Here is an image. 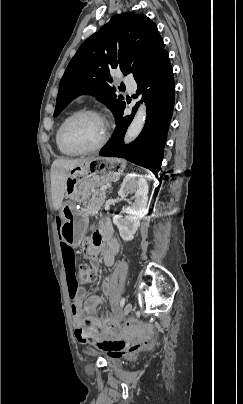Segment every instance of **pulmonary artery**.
Masks as SVG:
<instances>
[{
  "label": "pulmonary artery",
  "mask_w": 243,
  "mask_h": 404,
  "mask_svg": "<svg viewBox=\"0 0 243 404\" xmlns=\"http://www.w3.org/2000/svg\"><path fill=\"white\" fill-rule=\"evenodd\" d=\"M136 87H137L136 84H131V85L127 84V89L131 93H133L136 90Z\"/></svg>",
  "instance_id": "e3ab8cb5"
}]
</instances>
